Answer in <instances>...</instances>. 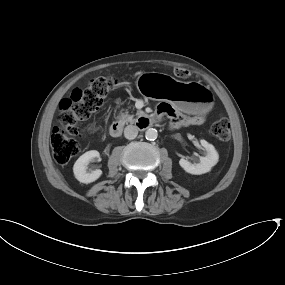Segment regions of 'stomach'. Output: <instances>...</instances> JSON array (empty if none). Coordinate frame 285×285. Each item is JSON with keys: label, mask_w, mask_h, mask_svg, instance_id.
I'll list each match as a JSON object with an SVG mask.
<instances>
[{"label": "stomach", "mask_w": 285, "mask_h": 285, "mask_svg": "<svg viewBox=\"0 0 285 285\" xmlns=\"http://www.w3.org/2000/svg\"><path fill=\"white\" fill-rule=\"evenodd\" d=\"M139 92L150 98H162L188 114H205L213 107V94L199 82H182L167 74L142 73L136 81Z\"/></svg>", "instance_id": "stomach-1"}]
</instances>
